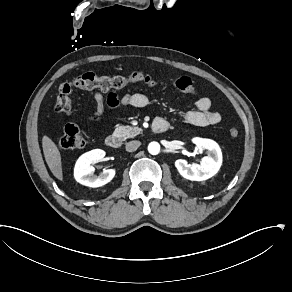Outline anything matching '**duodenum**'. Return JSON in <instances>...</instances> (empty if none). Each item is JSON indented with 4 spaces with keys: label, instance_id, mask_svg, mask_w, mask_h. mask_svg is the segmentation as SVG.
<instances>
[{
    "label": "duodenum",
    "instance_id": "duodenum-1",
    "mask_svg": "<svg viewBox=\"0 0 292 292\" xmlns=\"http://www.w3.org/2000/svg\"><path fill=\"white\" fill-rule=\"evenodd\" d=\"M169 129V123L163 118L156 119L152 126L151 132L154 134H161L167 132ZM106 144L112 149H118L120 147V140L116 135H109L106 138Z\"/></svg>",
    "mask_w": 292,
    "mask_h": 292
}]
</instances>
